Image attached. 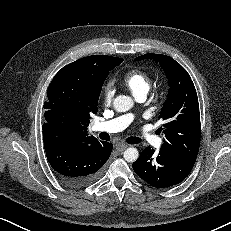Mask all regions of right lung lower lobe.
I'll return each instance as SVG.
<instances>
[{"label":"right lung lower lobe","mask_w":231,"mask_h":231,"mask_svg":"<svg viewBox=\"0 0 231 231\" xmlns=\"http://www.w3.org/2000/svg\"><path fill=\"white\" fill-rule=\"evenodd\" d=\"M43 143L56 176L72 188H81L96 180L113 148L108 142L82 145L66 142L46 123L43 125Z\"/></svg>","instance_id":"1"}]
</instances>
